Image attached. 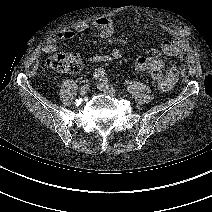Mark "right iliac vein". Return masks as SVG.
I'll return each instance as SVG.
<instances>
[{"mask_svg": "<svg viewBox=\"0 0 212 212\" xmlns=\"http://www.w3.org/2000/svg\"><path fill=\"white\" fill-rule=\"evenodd\" d=\"M89 89H90L89 85H84V86H82V87L79 89L80 95H82V96L86 95V94L88 93Z\"/></svg>", "mask_w": 212, "mask_h": 212, "instance_id": "1", "label": "right iliac vein"}]
</instances>
